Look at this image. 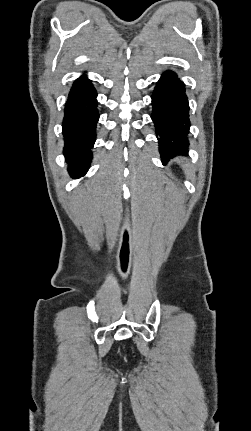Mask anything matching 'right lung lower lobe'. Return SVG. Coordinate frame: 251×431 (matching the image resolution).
Segmentation results:
<instances>
[{"label":"right lung lower lobe","instance_id":"98d812e1","mask_svg":"<svg viewBox=\"0 0 251 431\" xmlns=\"http://www.w3.org/2000/svg\"><path fill=\"white\" fill-rule=\"evenodd\" d=\"M96 97L97 93L90 80L82 76L74 82L65 104L63 152L73 177L85 175L91 162V148L95 142L99 119Z\"/></svg>","mask_w":251,"mask_h":431}]
</instances>
